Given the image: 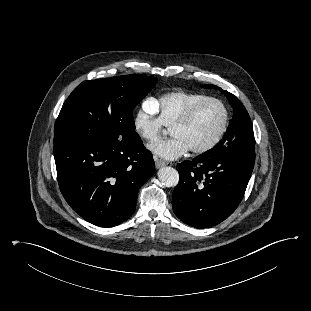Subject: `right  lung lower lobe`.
I'll use <instances>...</instances> for the list:
<instances>
[{
	"instance_id": "1",
	"label": "right lung lower lobe",
	"mask_w": 311,
	"mask_h": 311,
	"mask_svg": "<svg viewBox=\"0 0 311 311\" xmlns=\"http://www.w3.org/2000/svg\"><path fill=\"white\" fill-rule=\"evenodd\" d=\"M60 190L86 221L113 227L133 213L139 188L154 174L141 138L128 143L67 140L54 144Z\"/></svg>"
}]
</instances>
